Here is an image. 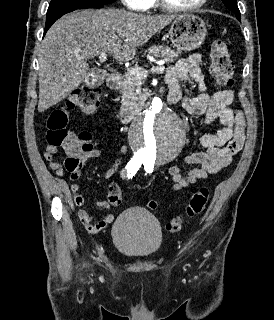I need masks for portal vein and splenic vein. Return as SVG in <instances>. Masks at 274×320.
<instances>
[{
	"instance_id": "portal-vein-and-splenic-vein-1",
	"label": "portal vein and splenic vein",
	"mask_w": 274,
	"mask_h": 320,
	"mask_svg": "<svg viewBox=\"0 0 274 320\" xmlns=\"http://www.w3.org/2000/svg\"><path fill=\"white\" fill-rule=\"evenodd\" d=\"M99 62L103 64V62H107V54L106 52H103V54H100L99 56ZM158 66L154 68V70H164V60L162 62H157ZM127 74H132V76H135V78H145L147 76L148 72L147 70H142V68H127Z\"/></svg>"
}]
</instances>
